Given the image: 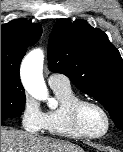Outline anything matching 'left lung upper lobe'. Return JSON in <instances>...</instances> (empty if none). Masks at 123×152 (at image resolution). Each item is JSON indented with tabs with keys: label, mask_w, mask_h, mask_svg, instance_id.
Masks as SVG:
<instances>
[{
	"label": "left lung upper lobe",
	"mask_w": 123,
	"mask_h": 152,
	"mask_svg": "<svg viewBox=\"0 0 123 152\" xmlns=\"http://www.w3.org/2000/svg\"><path fill=\"white\" fill-rule=\"evenodd\" d=\"M48 65L100 102L123 131V61L102 30L84 20H58L49 38Z\"/></svg>",
	"instance_id": "1"
}]
</instances>
